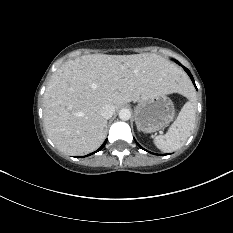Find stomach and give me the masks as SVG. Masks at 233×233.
<instances>
[{
    "label": "stomach",
    "instance_id": "obj_1",
    "mask_svg": "<svg viewBox=\"0 0 233 233\" xmlns=\"http://www.w3.org/2000/svg\"><path fill=\"white\" fill-rule=\"evenodd\" d=\"M174 114L172 101L166 95H159L138 103L135 123L139 131L152 133L167 126Z\"/></svg>",
    "mask_w": 233,
    "mask_h": 233
}]
</instances>
